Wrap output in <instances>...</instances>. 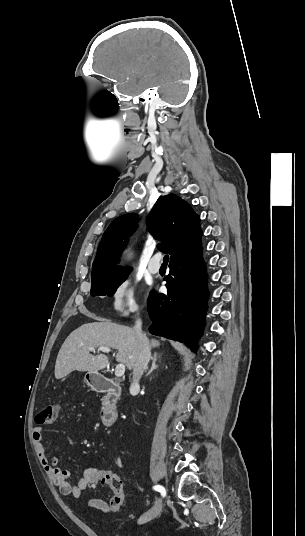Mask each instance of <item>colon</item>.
Instances as JSON below:
<instances>
[{
  "mask_svg": "<svg viewBox=\"0 0 305 536\" xmlns=\"http://www.w3.org/2000/svg\"><path fill=\"white\" fill-rule=\"evenodd\" d=\"M61 405L59 403H52L47 405L43 411H36L35 418L33 420L34 425H45L48 422L54 420L60 410ZM108 469L103 468H94L92 470V475L96 478H93L91 482L87 484L89 489H92L94 485L101 487L105 486L111 487L112 495L110 498V507L113 510H119L124 502V489L123 482L120 480V477L116 473L110 475Z\"/></svg>",
  "mask_w": 305,
  "mask_h": 536,
  "instance_id": "5ec220e1",
  "label": "colon"
}]
</instances>
